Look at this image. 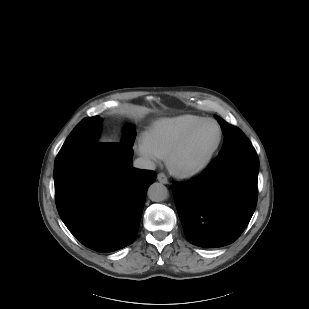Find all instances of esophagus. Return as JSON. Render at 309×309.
Wrapping results in <instances>:
<instances>
[{
  "mask_svg": "<svg viewBox=\"0 0 309 309\" xmlns=\"http://www.w3.org/2000/svg\"><path fill=\"white\" fill-rule=\"evenodd\" d=\"M157 180L163 184H167L168 183V179L166 177V175L164 173H159L157 175Z\"/></svg>",
  "mask_w": 309,
  "mask_h": 309,
  "instance_id": "1",
  "label": "esophagus"
}]
</instances>
